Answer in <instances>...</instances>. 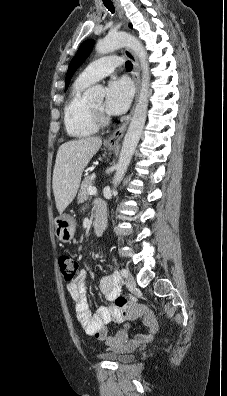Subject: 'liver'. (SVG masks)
Segmentation results:
<instances>
[{
    "mask_svg": "<svg viewBox=\"0 0 227 396\" xmlns=\"http://www.w3.org/2000/svg\"><path fill=\"white\" fill-rule=\"evenodd\" d=\"M102 145L100 137L63 143L57 152L52 187L56 208L61 214L75 198L84 168Z\"/></svg>",
    "mask_w": 227,
    "mask_h": 396,
    "instance_id": "liver-1",
    "label": "liver"
}]
</instances>
